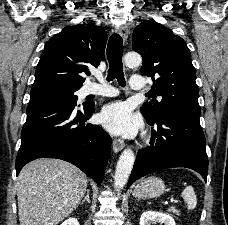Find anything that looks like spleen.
Returning <instances> with one entry per match:
<instances>
[{
    "label": "spleen",
    "instance_id": "spleen-1",
    "mask_svg": "<svg viewBox=\"0 0 228 225\" xmlns=\"http://www.w3.org/2000/svg\"><path fill=\"white\" fill-rule=\"evenodd\" d=\"M181 197L184 199L188 211H193L197 205V197L194 193L193 187H186Z\"/></svg>",
    "mask_w": 228,
    "mask_h": 225
}]
</instances>
